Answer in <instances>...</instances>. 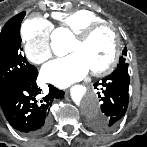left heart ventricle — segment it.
<instances>
[{
	"label": "left heart ventricle",
	"instance_id": "1",
	"mask_svg": "<svg viewBox=\"0 0 147 147\" xmlns=\"http://www.w3.org/2000/svg\"><path fill=\"white\" fill-rule=\"evenodd\" d=\"M114 47L113 33L110 30H101L85 43L74 40L70 50L81 54L92 71L103 68L110 61Z\"/></svg>",
	"mask_w": 147,
	"mask_h": 147
}]
</instances>
